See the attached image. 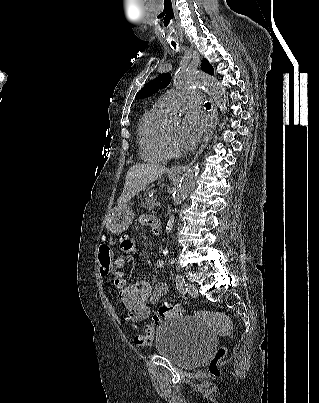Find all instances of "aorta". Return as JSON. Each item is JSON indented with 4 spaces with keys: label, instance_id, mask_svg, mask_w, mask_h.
Here are the masks:
<instances>
[{
    "label": "aorta",
    "instance_id": "obj_1",
    "mask_svg": "<svg viewBox=\"0 0 319 403\" xmlns=\"http://www.w3.org/2000/svg\"><path fill=\"white\" fill-rule=\"evenodd\" d=\"M173 82L178 87H202L206 89L209 94L214 99L216 106L220 109L221 113H225L227 107V97L225 93V89L219 83V81L207 74L195 73V74H185V73H177L173 78ZM199 173L198 166H193L186 171L183 175L180 184L177 190L173 194V204L174 206L180 205L188 196L190 191L192 190L196 178ZM174 215H170L167 225H166V233H170L174 226ZM168 251H164V254H167Z\"/></svg>",
    "mask_w": 319,
    "mask_h": 403
}]
</instances>
